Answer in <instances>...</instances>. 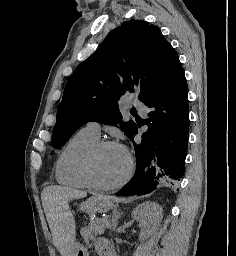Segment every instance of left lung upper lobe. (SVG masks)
Returning a JSON list of instances; mask_svg holds the SVG:
<instances>
[{"instance_id": "obj_1", "label": "left lung upper lobe", "mask_w": 236, "mask_h": 256, "mask_svg": "<svg viewBox=\"0 0 236 256\" xmlns=\"http://www.w3.org/2000/svg\"><path fill=\"white\" fill-rule=\"evenodd\" d=\"M180 68L177 52L157 26L143 20L124 22L68 79L57 108L52 146L60 148L87 122L121 121L122 95L138 94L144 103ZM120 126L129 138L136 128L133 121Z\"/></svg>"}]
</instances>
